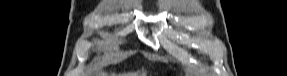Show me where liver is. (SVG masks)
<instances>
[{
  "label": "liver",
  "instance_id": "obj_1",
  "mask_svg": "<svg viewBox=\"0 0 287 76\" xmlns=\"http://www.w3.org/2000/svg\"><path fill=\"white\" fill-rule=\"evenodd\" d=\"M100 76H134V75H116L115 73H111L110 75H108V73H102V75Z\"/></svg>",
  "mask_w": 287,
  "mask_h": 76
}]
</instances>
